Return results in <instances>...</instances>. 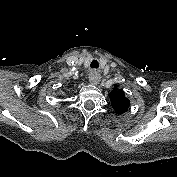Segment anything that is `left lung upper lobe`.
Instances as JSON below:
<instances>
[{
	"instance_id": "obj_1",
	"label": "left lung upper lobe",
	"mask_w": 177,
	"mask_h": 177,
	"mask_svg": "<svg viewBox=\"0 0 177 177\" xmlns=\"http://www.w3.org/2000/svg\"><path fill=\"white\" fill-rule=\"evenodd\" d=\"M115 89L110 93V100L116 113L122 114L129 108V99L122 91L116 92Z\"/></svg>"
}]
</instances>
